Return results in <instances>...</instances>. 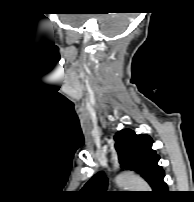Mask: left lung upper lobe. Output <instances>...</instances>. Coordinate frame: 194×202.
I'll use <instances>...</instances> for the list:
<instances>
[{"label": "left lung upper lobe", "mask_w": 194, "mask_h": 202, "mask_svg": "<svg viewBox=\"0 0 194 202\" xmlns=\"http://www.w3.org/2000/svg\"><path fill=\"white\" fill-rule=\"evenodd\" d=\"M114 140L121 167L139 173L152 186L162 167L158 165L159 156L151 148V137L123 129L116 133ZM107 185V178L100 171L84 185L81 192L90 198H101L108 194Z\"/></svg>", "instance_id": "left-lung-upper-lobe-1"}]
</instances>
